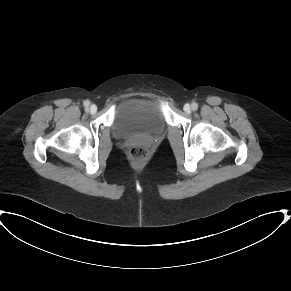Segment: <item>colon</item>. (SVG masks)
Masks as SVG:
<instances>
[{"mask_svg": "<svg viewBox=\"0 0 291 291\" xmlns=\"http://www.w3.org/2000/svg\"><path fill=\"white\" fill-rule=\"evenodd\" d=\"M149 150L144 145H135L128 152V158L136 167L142 166L149 158Z\"/></svg>", "mask_w": 291, "mask_h": 291, "instance_id": "colon-1", "label": "colon"}]
</instances>
